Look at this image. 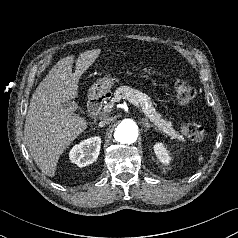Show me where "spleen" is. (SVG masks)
I'll return each instance as SVG.
<instances>
[{"instance_id": "3e777b00", "label": "spleen", "mask_w": 238, "mask_h": 238, "mask_svg": "<svg viewBox=\"0 0 238 238\" xmlns=\"http://www.w3.org/2000/svg\"><path fill=\"white\" fill-rule=\"evenodd\" d=\"M201 161H203V156L202 155L198 158V162L200 163Z\"/></svg>"}]
</instances>
